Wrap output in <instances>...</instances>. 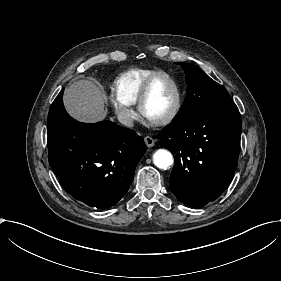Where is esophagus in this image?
Here are the masks:
<instances>
[{"mask_svg":"<svg viewBox=\"0 0 281 281\" xmlns=\"http://www.w3.org/2000/svg\"><path fill=\"white\" fill-rule=\"evenodd\" d=\"M144 142H145L146 146H148V147H153L155 144L154 139L150 136L144 137Z\"/></svg>","mask_w":281,"mask_h":281,"instance_id":"esophagus-1","label":"esophagus"}]
</instances>
